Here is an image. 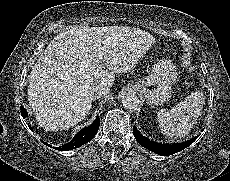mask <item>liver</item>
Listing matches in <instances>:
<instances>
[{
  "mask_svg": "<svg viewBox=\"0 0 230 181\" xmlns=\"http://www.w3.org/2000/svg\"><path fill=\"white\" fill-rule=\"evenodd\" d=\"M154 42L141 30L112 26L73 27L60 33L29 77V106L38 124L55 131L81 122L92 108L90 89H110L115 73L130 71Z\"/></svg>",
  "mask_w": 230,
  "mask_h": 181,
  "instance_id": "obj_1",
  "label": "liver"
}]
</instances>
